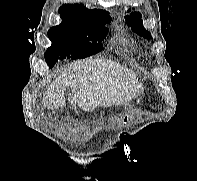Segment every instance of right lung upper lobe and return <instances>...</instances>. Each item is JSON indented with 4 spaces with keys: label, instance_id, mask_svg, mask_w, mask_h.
Masks as SVG:
<instances>
[{
    "label": "right lung upper lobe",
    "instance_id": "cb5924a9",
    "mask_svg": "<svg viewBox=\"0 0 197 181\" xmlns=\"http://www.w3.org/2000/svg\"><path fill=\"white\" fill-rule=\"evenodd\" d=\"M60 17L66 20L81 19L84 17L109 16L105 10H89L84 5L66 4L59 8Z\"/></svg>",
    "mask_w": 197,
    "mask_h": 181
}]
</instances>
